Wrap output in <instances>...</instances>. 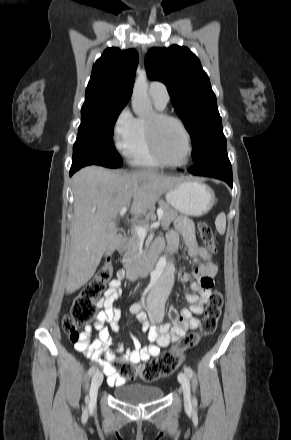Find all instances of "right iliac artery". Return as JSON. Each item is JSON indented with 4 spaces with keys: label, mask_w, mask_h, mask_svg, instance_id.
<instances>
[{
    "label": "right iliac artery",
    "mask_w": 291,
    "mask_h": 440,
    "mask_svg": "<svg viewBox=\"0 0 291 440\" xmlns=\"http://www.w3.org/2000/svg\"><path fill=\"white\" fill-rule=\"evenodd\" d=\"M139 309H140V307H139L138 304H133V305L130 307V312H131L132 314H133V313H137V312L139 311ZM96 370H97L96 365H92V366L90 367L89 371H88L89 375L92 376V375L96 372Z\"/></svg>",
    "instance_id": "right-iliac-artery-1"
}]
</instances>
